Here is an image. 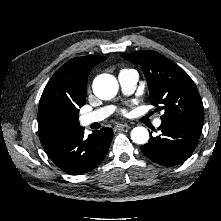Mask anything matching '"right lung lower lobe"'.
<instances>
[{
	"instance_id": "right-lung-lower-lobe-1",
	"label": "right lung lower lobe",
	"mask_w": 221,
	"mask_h": 221,
	"mask_svg": "<svg viewBox=\"0 0 221 221\" xmlns=\"http://www.w3.org/2000/svg\"><path fill=\"white\" fill-rule=\"evenodd\" d=\"M113 131L104 127L84 137V128L67 135L46 148L54 164L71 175H81L94 169L105 158Z\"/></svg>"
}]
</instances>
